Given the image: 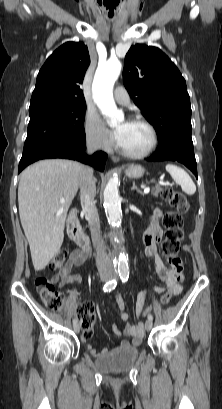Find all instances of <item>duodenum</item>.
<instances>
[{"instance_id":"1","label":"duodenum","mask_w":222,"mask_h":409,"mask_svg":"<svg viewBox=\"0 0 222 409\" xmlns=\"http://www.w3.org/2000/svg\"><path fill=\"white\" fill-rule=\"evenodd\" d=\"M67 232L72 242L79 249H81L83 252H87L89 250V238L79 223L76 209H73L70 214Z\"/></svg>"}]
</instances>
